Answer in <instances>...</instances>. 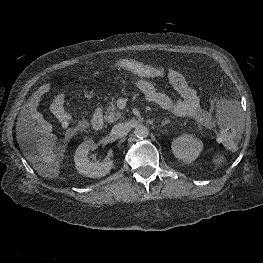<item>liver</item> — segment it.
I'll use <instances>...</instances> for the list:
<instances>
[{"label":"liver","instance_id":"obj_1","mask_svg":"<svg viewBox=\"0 0 263 263\" xmlns=\"http://www.w3.org/2000/svg\"><path fill=\"white\" fill-rule=\"evenodd\" d=\"M22 117H19L16 130L19 132L18 137H21ZM56 137L52 135L50 139L41 138L38 144V150L41 152L45 168L37 167L38 173L43 177H55L59 172V164L57 162V155L54 153Z\"/></svg>","mask_w":263,"mask_h":263}]
</instances>
